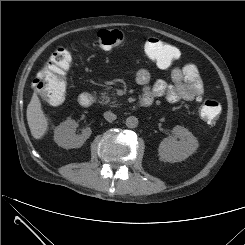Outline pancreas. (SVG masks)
I'll return each mask as SVG.
<instances>
[{
  "mask_svg": "<svg viewBox=\"0 0 245 245\" xmlns=\"http://www.w3.org/2000/svg\"><path fill=\"white\" fill-rule=\"evenodd\" d=\"M114 94H109L107 92H103L101 93V100H100V103L101 104H111L110 106L111 107H116L117 104H116V98L113 96ZM111 100H113L111 102Z\"/></svg>",
  "mask_w": 245,
  "mask_h": 245,
  "instance_id": "1",
  "label": "pancreas"
}]
</instances>
